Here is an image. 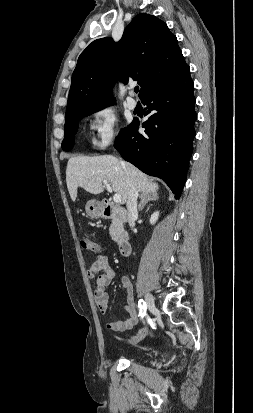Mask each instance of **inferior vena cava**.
<instances>
[{
	"mask_svg": "<svg viewBox=\"0 0 253 413\" xmlns=\"http://www.w3.org/2000/svg\"><path fill=\"white\" fill-rule=\"evenodd\" d=\"M129 184V193H128V199H127V210H128V222L130 227H134L135 225V219L138 216L137 213V198H138V191L135 189V187L131 184V182L128 180Z\"/></svg>",
	"mask_w": 253,
	"mask_h": 413,
	"instance_id": "1",
	"label": "inferior vena cava"
}]
</instances>
